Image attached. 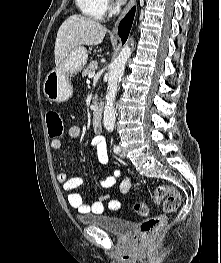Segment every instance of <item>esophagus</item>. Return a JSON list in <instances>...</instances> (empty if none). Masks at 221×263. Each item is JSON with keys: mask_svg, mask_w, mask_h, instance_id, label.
Returning <instances> with one entry per match:
<instances>
[{"mask_svg": "<svg viewBox=\"0 0 221 263\" xmlns=\"http://www.w3.org/2000/svg\"><path fill=\"white\" fill-rule=\"evenodd\" d=\"M136 0H130L128 2V4L126 5V7L124 8L123 12L121 13L118 21L115 24V27L112 30V34H116V30H117V25L120 22V20L127 14V12L135 5Z\"/></svg>", "mask_w": 221, "mask_h": 263, "instance_id": "obj_1", "label": "esophagus"}]
</instances>
